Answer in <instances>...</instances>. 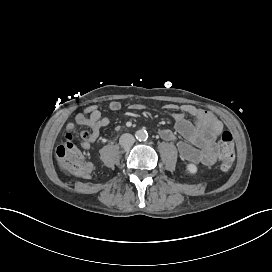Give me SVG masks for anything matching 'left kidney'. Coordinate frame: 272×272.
<instances>
[{
	"instance_id": "left-kidney-1",
	"label": "left kidney",
	"mask_w": 272,
	"mask_h": 272,
	"mask_svg": "<svg viewBox=\"0 0 272 272\" xmlns=\"http://www.w3.org/2000/svg\"><path fill=\"white\" fill-rule=\"evenodd\" d=\"M188 170H189L190 172H195V171H196V168H195L193 165H189V166H188Z\"/></svg>"
}]
</instances>
